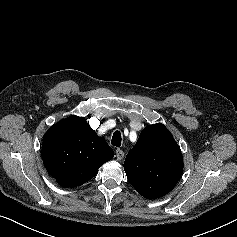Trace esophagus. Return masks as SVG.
Here are the masks:
<instances>
[{"instance_id":"obj_1","label":"esophagus","mask_w":237,"mask_h":237,"mask_svg":"<svg viewBox=\"0 0 237 237\" xmlns=\"http://www.w3.org/2000/svg\"><path fill=\"white\" fill-rule=\"evenodd\" d=\"M115 153H116L117 160L123 159V157H124V151L123 150L117 149Z\"/></svg>"}]
</instances>
